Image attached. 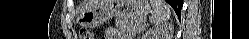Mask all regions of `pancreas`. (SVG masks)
<instances>
[{
  "label": "pancreas",
  "instance_id": "cf45deb5",
  "mask_svg": "<svg viewBox=\"0 0 249 39\" xmlns=\"http://www.w3.org/2000/svg\"><path fill=\"white\" fill-rule=\"evenodd\" d=\"M116 26L123 35H136L142 30V22L131 18H117Z\"/></svg>",
  "mask_w": 249,
  "mask_h": 39
}]
</instances>
